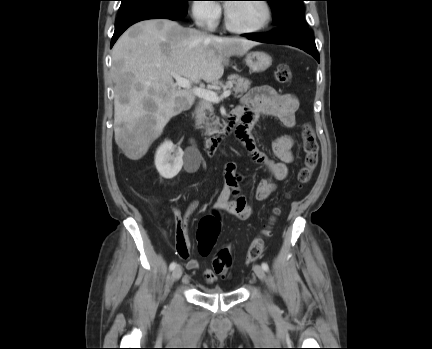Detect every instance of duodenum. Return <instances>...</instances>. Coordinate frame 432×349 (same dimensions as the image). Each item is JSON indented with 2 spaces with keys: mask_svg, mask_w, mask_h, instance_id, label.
<instances>
[{
  "mask_svg": "<svg viewBox=\"0 0 432 349\" xmlns=\"http://www.w3.org/2000/svg\"><path fill=\"white\" fill-rule=\"evenodd\" d=\"M241 118V112L237 109L232 111L220 131L207 138L205 141L206 152L209 156L217 154L222 142L231 134L234 133Z\"/></svg>",
  "mask_w": 432,
  "mask_h": 349,
  "instance_id": "obj_1",
  "label": "duodenum"
}]
</instances>
